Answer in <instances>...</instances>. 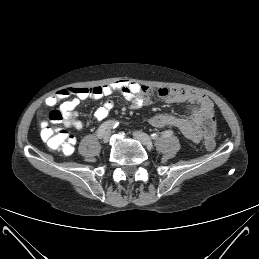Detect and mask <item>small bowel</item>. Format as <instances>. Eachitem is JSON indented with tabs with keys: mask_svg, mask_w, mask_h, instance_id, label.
<instances>
[{
	"mask_svg": "<svg viewBox=\"0 0 259 259\" xmlns=\"http://www.w3.org/2000/svg\"><path fill=\"white\" fill-rule=\"evenodd\" d=\"M120 93L129 102L131 109L150 105L154 97H159L167 103L193 102L196 107L189 116H177L171 113H160L152 116L149 123L157 128L171 126L177 128L186 138L198 143L205 138L204 121L214 117V105L204 94L180 88H152L131 80H118L95 87L63 88L47 97L45 103L55 106L60 103V110L65 117L66 125L75 129L82 128V122L77 118V107L86 99L99 100L102 97ZM113 100L108 99L94 111L96 121H103L114 108ZM42 140L45 141L41 135ZM46 142V141H45Z\"/></svg>",
	"mask_w": 259,
	"mask_h": 259,
	"instance_id": "c3829d8e",
	"label": "small bowel"
}]
</instances>
